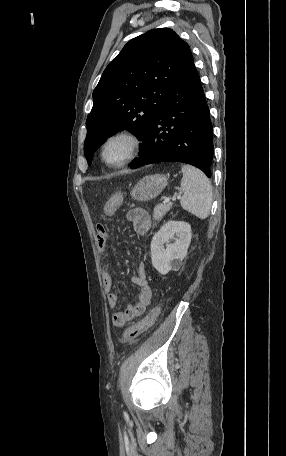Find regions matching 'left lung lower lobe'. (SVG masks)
Returning <instances> with one entry per match:
<instances>
[{"label": "left lung lower lobe", "instance_id": "0a47b994", "mask_svg": "<svg viewBox=\"0 0 286 456\" xmlns=\"http://www.w3.org/2000/svg\"><path fill=\"white\" fill-rule=\"evenodd\" d=\"M131 169L156 162L193 165L211 177L213 129L194 62L169 91Z\"/></svg>", "mask_w": 286, "mask_h": 456}]
</instances>
